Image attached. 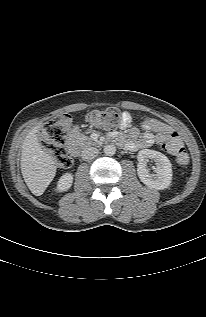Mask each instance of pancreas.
<instances>
[{"mask_svg": "<svg viewBox=\"0 0 206 317\" xmlns=\"http://www.w3.org/2000/svg\"><path fill=\"white\" fill-rule=\"evenodd\" d=\"M75 138H76V142L80 145L92 144L91 139L85 136L84 134H77Z\"/></svg>", "mask_w": 206, "mask_h": 317, "instance_id": "obj_1", "label": "pancreas"}]
</instances>
